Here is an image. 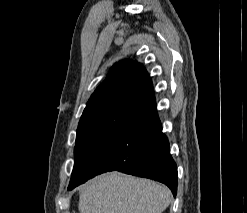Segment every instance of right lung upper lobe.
Masks as SVG:
<instances>
[{"instance_id": "obj_1", "label": "right lung upper lobe", "mask_w": 247, "mask_h": 213, "mask_svg": "<svg viewBox=\"0 0 247 213\" xmlns=\"http://www.w3.org/2000/svg\"><path fill=\"white\" fill-rule=\"evenodd\" d=\"M153 96L152 81L137 61L115 64L105 81L91 95L79 125L95 116L120 106H133Z\"/></svg>"}]
</instances>
